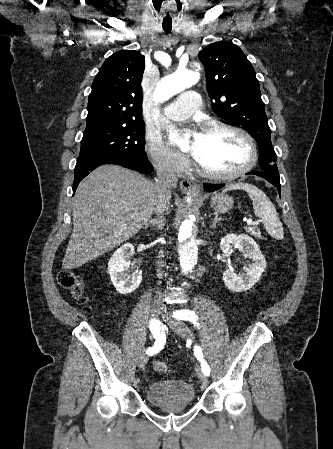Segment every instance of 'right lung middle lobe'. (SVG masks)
Listing matches in <instances>:
<instances>
[{"label": "right lung middle lobe", "instance_id": "right-lung-middle-lobe-1", "mask_svg": "<svg viewBox=\"0 0 333 449\" xmlns=\"http://www.w3.org/2000/svg\"><path fill=\"white\" fill-rule=\"evenodd\" d=\"M144 144L143 121L93 125L84 131L79 157L105 155L147 159Z\"/></svg>", "mask_w": 333, "mask_h": 449}]
</instances>
